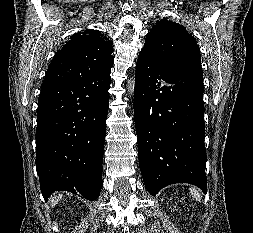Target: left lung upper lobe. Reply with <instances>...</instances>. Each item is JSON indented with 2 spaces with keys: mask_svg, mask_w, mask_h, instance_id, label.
Masks as SVG:
<instances>
[{
  "mask_svg": "<svg viewBox=\"0 0 253 233\" xmlns=\"http://www.w3.org/2000/svg\"><path fill=\"white\" fill-rule=\"evenodd\" d=\"M141 51L171 77L190 71L203 75L200 51L194 37L176 22L158 20L147 34Z\"/></svg>",
  "mask_w": 253,
  "mask_h": 233,
  "instance_id": "5c2ea615",
  "label": "left lung upper lobe"
}]
</instances>
